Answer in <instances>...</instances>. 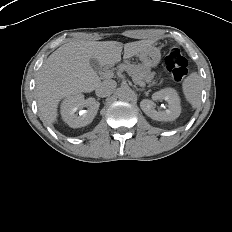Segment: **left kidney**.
I'll use <instances>...</instances> for the list:
<instances>
[{
    "instance_id": "5707ae66",
    "label": "left kidney",
    "mask_w": 232,
    "mask_h": 232,
    "mask_svg": "<svg viewBox=\"0 0 232 232\" xmlns=\"http://www.w3.org/2000/svg\"><path fill=\"white\" fill-rule=\"evenodd\" d=\"M156 100H165L168 103V108L165 111H156L154 103ZM140 107L148 117L156 121H173L181 113L180 98L173 88H165L155 92L152 95V100L143 99Z\"/></svg>"
}]
</instances>
